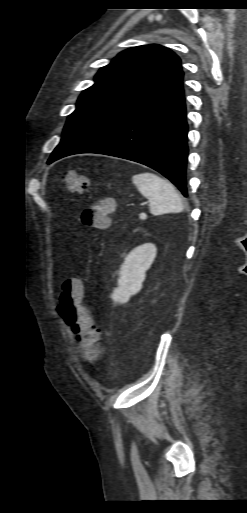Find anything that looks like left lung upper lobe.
Masks as SVG:
<instances>
[{"mask_svg":"<svg viewBox=\"0 0 247 513\" xmlns=\"http://www.w3.org/2000/svg\"><path fill=\"white\" fill-rule=\"evenodd\" d=\"M180 73V58L160 45H142L119 53L99 70L95 84L80 95L76 110L67 119L61 141Z\"/></svg>","mask_w":247,"mask_h":513,"instance_id":"5c2ea615","label":"left lung upper lobe"}]
</instances>
